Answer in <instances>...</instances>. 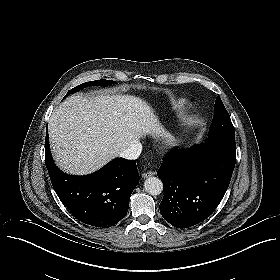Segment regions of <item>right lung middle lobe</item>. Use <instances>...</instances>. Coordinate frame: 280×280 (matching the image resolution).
<instances>
[{
    "instance_id": "obj_1",
    "label": "right lung middle lobe",
    "mask_w": 280,
    "mask_h": 280,
    "mask_svg": "<svg viewBox=\"0 0 280 280\" xmlns=\"http://www.w3.org/2000/svg\"><path fill=\"white\" fill-rule=\"evenodd\" d=\"M112 83H114V81L111 80H96V81H90V82H86L83 84L78 85L77 87L71 89L66 95L65 97H67L70 94H73L87 86H108L111 85ZM64 97V98H65Z\"/></svg>"
}]
</instances>
